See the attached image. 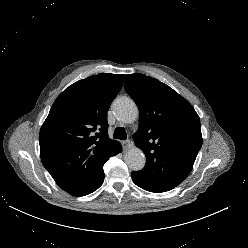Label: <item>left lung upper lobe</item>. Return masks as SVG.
I'll return each instance as SVG.
<instances>
[{"mask_svg": "<svg viewBox=\"0 0 248 248\" xmlns=\"http://www.w3.org/2000/svg\"><path fill=\"white\" fill-rule=\"evenodd\" d=\"M124 86L139 108L133 139L146 156L139 172L152 189L169 191L192 170L202 146L200 118L186 99L157 79L129 74Z\"/></svg>", "mask_w": 248, "mask_h": 248, "instance_id": "obj_1", "label": "left lung upper lobe"}]
</instances>
